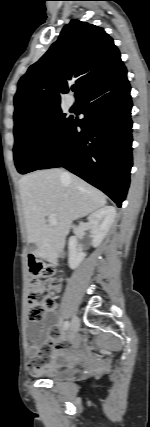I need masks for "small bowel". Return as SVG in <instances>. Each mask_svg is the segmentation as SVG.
Returning <instances> with one entry per match:
<instances>
[{"instance_id":"1","label":"small bowel","mask_w":150,"mask_h":427,"mask_svg":"<svg viewBox=\"0 0 150 427\" xmlns=\"http://www.w3.org/2000/svg\"><path fill=\"white\" fill-rule=\"evenodd\" d=\"M54 309L58 308L57 304L53 305ZM56 325V318L53 314H49L41 323L34 324L30 328L33 344L27 348L29 357L28 368L32 374L39 375L48 373L49 366L48 355L50 350L58 351L71 346L81 345L80 340L68 341L60 338V332Z\"/></svg>"}]
</instances>
